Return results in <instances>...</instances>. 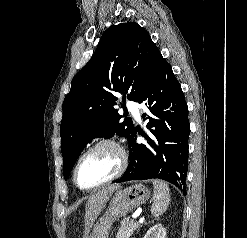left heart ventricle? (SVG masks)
I'll return each mask as SVG.
<instances>
[{
    "mask_svg": "<svg viewBox=\"0 0 247 238\" xmlns=\"http://www.w3.org/2000/svg\"><path fill=\"white\" fill-rule=\"evenodd\" d=\"M119 164V155L113 148L100 147L82 160L77 171V180L83 187L96 185L115 174Z\"/></svg>",
    "mask_w": 247,
    "mask_h": 238,
    "instance_id": "1",
    "label": "left heart ventricle"
}]
</instances>
